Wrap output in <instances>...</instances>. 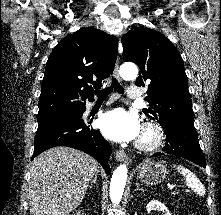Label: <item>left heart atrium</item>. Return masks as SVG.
Returning <instances> with one entry per match:
<instances>
[{"instance_id": "obj_1", "label": "left heart atrium", "mask_w": 221, "mask_h": 215, "mask_svg": "<svg viewBox=\"0 0 221 215\" xmlns=\"http://www.w3.org/2000/svg\"><path fill=\"white\" fill-rule=\"evenodd\" d=\"M99 128L107 138L118 142L131 141L140 135L137 116L122 108L102 115L99 119Z\"/></svg>"}]
</instances>
